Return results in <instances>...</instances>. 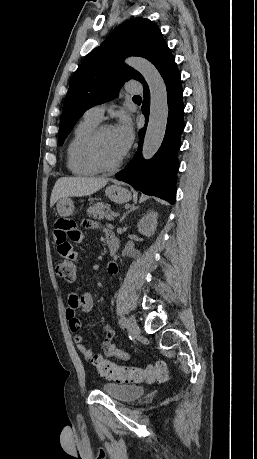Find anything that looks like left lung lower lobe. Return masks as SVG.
I'll return each instance as SVG.
<instances>
[{
  "mask_svg": "<svg viewBox=\"0 0 257 459\" xmlns=\"http://www.w3.org/2000/svg\"><path fill=\"white\" fill-rule=\"evenodd\" d=\"M157 69L167 87L169 107L164 140L152 159H143L141 149L150 110V92L145 82L143 83L144 100L142 105L145 126L139 131V147L133 159L115 177L147 195L159 197L173 204L176 196V174L179 168L177 153L180 148V136L184 129L183 90L180 73L171 53L166 56Z\"/></svg>",
  "mask_w": 257,
  "mask_h": 459,
  "instance_id": "obj_1",
  "label": "left lung lower lobe"
}]
</instances>
